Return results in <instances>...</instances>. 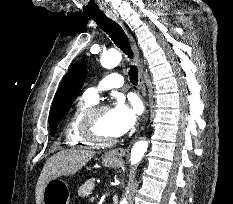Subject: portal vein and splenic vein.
Masks as SVG:
<instances>
[{
  "label": "portal vein and splenic vein",
  "instance_id": "obj_1",
  "mask_svg": "<svg viewBox=\"0 0 233 204\" xmlns=\"http://www.w3.org/2000/svg\"><path fill=\"white\" fill-rule=\"evenodd\" d=\"M95 200V197H91V201H94Z\"/></svg>",
  "mask_w": 233,
  "mask_h": 204
}]
</instances>
